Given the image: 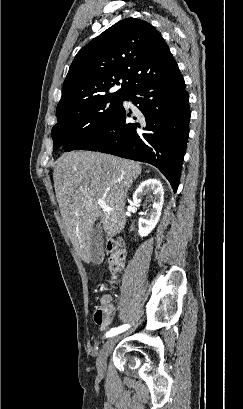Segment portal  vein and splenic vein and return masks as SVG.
Instances as JSON below:
<instances>
[{
  "instance_id": "portal-vein-and-splenic-vein-1",
  "label": "portal vein and splenic vein",
  "mask_w": 243,
  "mask_h": 409,
  "mask_svg": "<svg viewBox=\"0 0 243 409\" xmlns=\"http://www.w3.org/2000/svg\"><path fill=\"white\" fill-rule=\"evenodd\" d=\"M98 205L103 209V210H109V207L106 205L105 201L103 199H98Z\"/></svg>"
}]
</instances>
